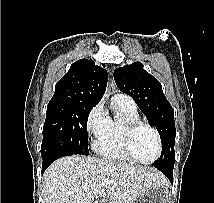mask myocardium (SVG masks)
Wrapping results in <instances>:
<instances>
[{
	"mask_svg": "<svg viewBox=\"0 0 214 203\" xmlns=\"http://www.w3.org/2000/svg\"><path fill=\"white\" fill-rule=\"evenodd\" d=\"M142 127H146L148 129H150L156 139V143H157V153L156 156L149 161H143L141 159H139L133 151L132 148V142H133V137L136 133V131ZM123 146H124V150L126 152V154L134 161L137 162L139 164H144V165H150L155 163L161 156L162 153V141H161V137L159 135V132L157 131L156 128H154L152 125H150L147 122H144L142 120H137V121H132L129 122L124 129L123 132Z\"/></svg>",
	"mask_w": 214,
	"mask_h": 203,
	"instance_id": "obj_1",
	"label": "myocardium"
}]
</instances>
